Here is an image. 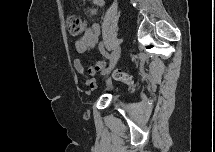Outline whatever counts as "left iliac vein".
I'll list each match as a JSON object with an SVG mask.
<instances>
[{
    "instance_id": "obj_1",
    "label": "left iliac vein",
    "mask_w": 215,
    "mask_h": 152,
    "mask_svg": "<svg viewBox=\"0 0 215 152\" xmlns=\"http://www.w3.org/2000/svg\"><path fill=\"white\" fill-rule=\"evenodd\" d=\"M120 51H121V49H120V46L119 45H116V47L114 48V50H113V52H112V60H113V62L111 63V64H109L112 68H111V70L112 69H114V67L116 66V63H117V61H118V58H119V56H120ZM111 70L109 71V72H107L106 74H105V76H107L110 72H111Z\"/></svg>"
}]
</instances>
